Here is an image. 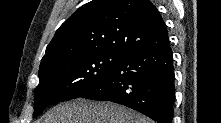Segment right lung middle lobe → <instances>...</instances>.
I'll list each match as a JSON object with an SVG mask.
<instances>
[{"mask_svg":"<svg viewBox=\"0 0 221 123\" xmlns=\"http://www.w3.org/2000/svg\"><path fill=\"white\" fill-rule=\"evenodd\" d=\"M125 53L90 50L48 61L39 68L34 94V117L49 105L81 97L103 83L126 58Z\"/></svg>","mask_w":221,"mask_h":123,"instance_id":"right-lung-middle-lobe-1","label":"right lung middle lobe"}]
</instances>
